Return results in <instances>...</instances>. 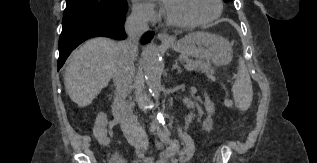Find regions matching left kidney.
Returning <instances> with one entry per match:
<instances>
[{
	"label": "left kidney",
	"instance_id": "1",
	"mask_svg": "<svg viewBox=\"0 0 317 163\" xmlns=\"http://www.w3.org/2000/svg\"><path fill=\"white\" fill-rule=\"evenodd\" d=\"M204 97H205L204 106H205V109L208 113V118L203 122L202 128L209 132L212 129V125H213L211 116L215 112V106H214L213 102L209 99V97L206 93L204 94Z\"/></svg>",
	"mask_w": 317,
	"mask_h": 163
}]
</instances>
